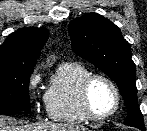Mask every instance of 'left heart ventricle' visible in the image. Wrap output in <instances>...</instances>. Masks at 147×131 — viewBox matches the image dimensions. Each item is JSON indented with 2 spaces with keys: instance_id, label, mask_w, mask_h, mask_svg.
<instances>
[{
  "instance_id": "1",
  "label": "left heart ventricle",
  "mask_w": 147,
  "mask_h": 131,
  "mask_svg": "<svg viewBox=\"0 0 147 131\" xmlns=\"http://www.w3.org/2000/svg\"><path fill=\"white\" fill-rule=\"evenodd\" d=\"M90 105L97 115L109 113L115 106V95L111 87L104 80H95L89 93Z\"/></svg>"
}]
</instances>
